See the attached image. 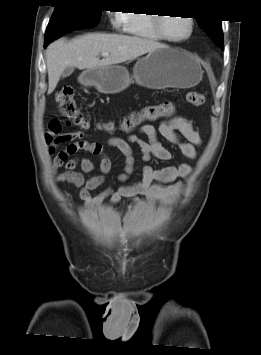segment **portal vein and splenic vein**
Returning a JSON list of instances; mask_svg holds the SVG:
<instances>
[{
  "mask_svg": "<svg viewBox=\"0 0 261 355\" xmlns=\"http://www.w3.org/2000/svg\"><path fill=\"white\" fill-rule=\"evenodd\" d=\"M108 55H109L108 52H103V53H102V56H103V57H107Z\"/></svg>",
  "mask_w": 261,
  "mask_h": 355,
  "instance_id": "1",
  "label": "portal vein and splenic vein"
}]
</instances>
